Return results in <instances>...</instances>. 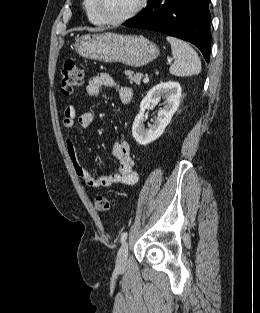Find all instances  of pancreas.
<instances>
[{"label":"pancreas","mask_w":260,"mask_h":313,"mask_svg":"<svg viewBox=\"0 0 260 313\" xmlns=\"http://www.w3.org/2000/svg\"><path fill=\"white\" fill-rule=\"evenodd\" d=\"M125 75L128 77L130 84L135 83L136 85H140L141 79H142V74L141 73H134L132 71H125Z\"/></svg>","instance_id":"1"}]
</instances>
